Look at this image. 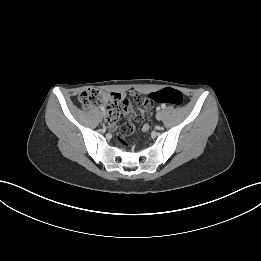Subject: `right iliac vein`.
<instances>
[{
	"instance_id": "63e3f726",
	"label": "right iliac vein",
	"mask_w": 261,
	"mask_h": 261,
	"mask_svg": "<svg viewBox=\"0 0 261 261\" xmlns=\"http://www.w3.org/2000/svg\"><path fill=\"white\" fill-rule=\"evenodd\" d=\"M102 115H103V116H106V115H107L106 111H103Z\"/></svg>"
}]
</instances>
